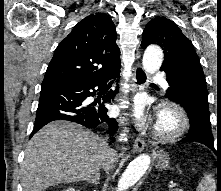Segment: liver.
<instances>
[{
    "label": "liver",
    "instance_id": "6515ba94",
    "mask_svg": "<svg viewBox=\"0 0 221 191\" xmlns=\"http://www.w3.org/2000/svg\"><path fill=\"white\" fill-rule=\"evenodd\" d=\"M104 141L90 130L68 121L44 126L29 141L21 165L23 191L87 180L105 162ZM108 161L104 168H109Z\"/></svg>",
    "mask_w": 221,
    "mask_h": 191
}]
</instances>
